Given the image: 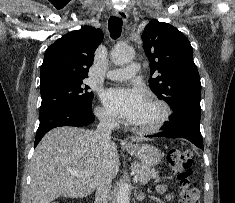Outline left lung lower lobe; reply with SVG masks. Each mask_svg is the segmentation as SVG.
Wrapping results in <instances>:
<instances>
[{
    "label": "left lung lower lobe",
    "instance_id": "0a47b994",
    "mask_svg": "<svg viewBox=\"0 0 235 203\" xmlns=\"http://www.w3.org/2000/svg\"><path fill=\"white\" fill-rule=\"evenodd\" d=\"M200 115L201 113L190 110L173 116L162 127L163 132L148 137L185 138L204 150L200 132Z\"/></svg>",
    "mask_w": 235,
    "mask_h": 203
}]
</instances>
